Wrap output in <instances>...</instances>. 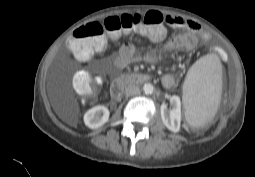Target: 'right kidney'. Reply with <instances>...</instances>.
Segmentation results:
<instances>
[{
	"mask_svg": "<svg viewBox=\"0 0 255 177\" xmlns=\"http://www.w3.org/2000/svg\"><path fill=\"white\" fill-rule=\"evenodd\" d=\"M109 110L103 105H98L84 114V123L91 129H97L104 125L109 119Z\"/></svg>",
	"mask_w": 255,
	"mask_h": 177,
	"instance_id": "ca27d5eb",
	"label": "right kidney"
}]
</instances>
